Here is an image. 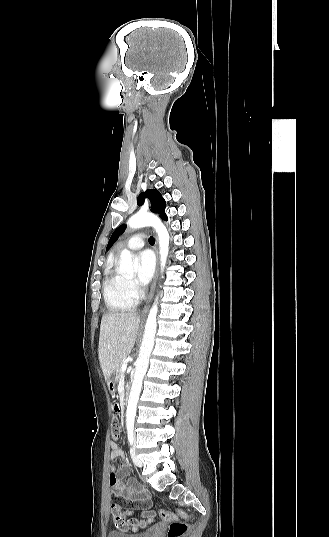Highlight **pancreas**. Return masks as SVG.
<instances>
[{
    "mask_svg": "<svg viewBox=\"0 0 329 537\" xmlns=\"http://www.w3.org/2000/svg\"><path fill=\"white\" fill-rule=\"evenodd\" d=\"M121 367H122V362L119 363V366L115 371V379L117 382H119L124 375V372L122 371Z\"/></svg>",
    "mask_w": 329,
    "mask_h": 537,
    "instance_id": "obj_1",
    "label": "pancreas"
}]
</instances>
